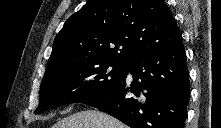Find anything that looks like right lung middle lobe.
I'll return each mask as SVG.
<instances>
[{
  "instance_id": "dd1d6c3e",
  "label": "right lung middle lobe",
  "mask_w": 221,
  "mask_h": 128,
  "mask_svg": "<svg viewBox=\"0 0 221 128\" xmlns=\"http://www.w3.org/2000/svg\"><path fill=\"white\" fill-rule=\"evenodd\" d=\"M112 70H107L109 67ZM126 65L77 61L45 72L35 113L76 102H84L115 87L123 78Z\"/></svg>"
}]
</instances>
